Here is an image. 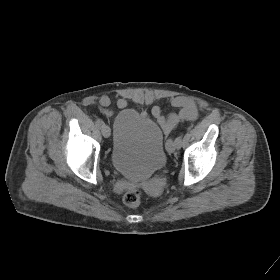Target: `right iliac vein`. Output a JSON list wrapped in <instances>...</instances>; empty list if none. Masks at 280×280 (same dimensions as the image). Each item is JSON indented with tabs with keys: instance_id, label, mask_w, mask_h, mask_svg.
Here are the masks:
<instances>
[{
	"instance_id": "obj_1",
	"label": "right iliac vein",
	"mask_w": 280,
	"mask_h": 280,
	"mask_svg": "<svg viewBox=\"0 0 280 280\" xmlns=\"http://www.w3.org/2000/svg\"><path fill=\"white\" fill-rule=\"evenodd\" d=\"M101 132L105 138H108L110 136V128L105 124L101 127Z\"/></svg>"
}]
</instances>
